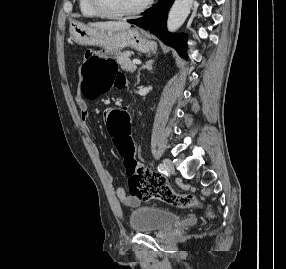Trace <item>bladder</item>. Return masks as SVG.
Listing matches in <instances>:
<instances>
[{"label": "bladder", "mask_w": 286, "mask_h": 269, "mask_svg": "<svg viewBox=\"0 0 286 269\" xmlns=\"http://www.w3.org/2000/svg\"><path fill=\"white\" fill-rule=\"evenodd\" d=\"M177 220L176 213L156 206H141L131 211L129 215L131 229L141 234L163 230Z\"/></svg>", "instance_id": "1"}]
</instances>
